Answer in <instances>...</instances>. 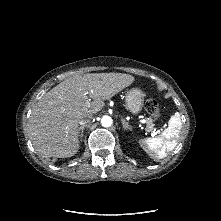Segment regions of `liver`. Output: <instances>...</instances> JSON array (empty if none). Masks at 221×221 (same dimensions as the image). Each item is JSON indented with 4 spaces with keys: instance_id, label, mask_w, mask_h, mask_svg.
Masks as SVG:
<instances>
[{
    "instance_id": "1",
    "label": "liver",
    "mask_w": 221,
    "mask_h": 221,
    "mask_svg": "<svg viewBox=\"0 0 221 221\" xmlns=\"http://www.w3.org/2000/svg\"><path fill=\"white\" fill-rule=\"evenodd\" d=\"M123 73H91L72 76L47 92L35 105L29 131L37 151L48 157L67 158L79 150V120L95 114L134 82ZM87 95L93 99L86 108ZM88 98V97H87Z\"/></svg>"
}]
</instances>
